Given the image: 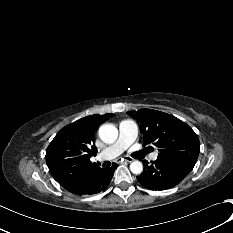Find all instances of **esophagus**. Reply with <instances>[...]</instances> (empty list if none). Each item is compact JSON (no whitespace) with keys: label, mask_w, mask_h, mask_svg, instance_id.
Instances as JSON below:
<instances>
[{"label":"esophagus","mask_w":233,"mask_h":233,"mask_svg":"<svg viewBox=\"0 0 233 233\" xmlns=\"http://www.w3.org/2000/svg\"><path fill=\"white\" fill-rule=\"evenodd\" d=\"M123 161L126 162H132L134 159L132 157L126 156L124 159H122Z\"/></svg>","instance_id":"esophagus-1"}]
</instances>
